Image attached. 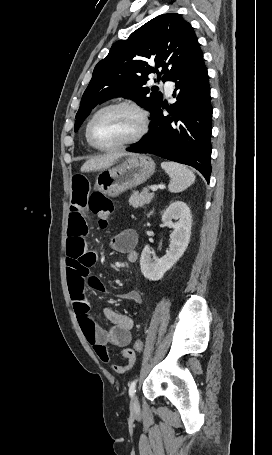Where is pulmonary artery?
<instances>
[{
  "mask_svg": "<svg viewBox=\"0 0 272 455\" xmlns=\"http://www.w3.org/2000/svg\"><path fill=\"white\" fill-rule=\"evenodd\" d=\"M164 90H165L166 95L170 96L173 91V83L170 81H165Z\"/></svg>",
  "mask_w": 272,
  "mask_h": 455,
  "instance_id": "pulmonary-artery-1",
  "label": "pulmonary artery"
}]
</instances>
